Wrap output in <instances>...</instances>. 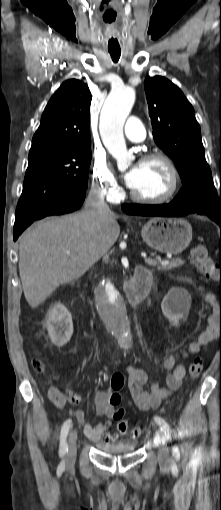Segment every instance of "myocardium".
<instances>
[{
  "label": "myocardium",
  "instance_id": "myocardium-1",
  "mask_svg": "<svg viewBox=\"0 0 221 510\" xmlns=\"http://www.w3.org/2000/svg\"><path fill=\"white\" fill-rule=\"evenodd\" d=\"M151 160H160L162 161L170 172V187L168 191L159 197H143L136 194L132 189L129 191L130 198L138 203L147 204V205H158L166 203L172 200L178 192L180 185V176L178 169L174 163V161L166 154L162 152H150L144 155L141 159V162L151 161Z\"/></svg>",
  "mask_w": 221,
  "mask_h": 510
}]
</instances>
